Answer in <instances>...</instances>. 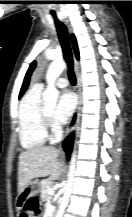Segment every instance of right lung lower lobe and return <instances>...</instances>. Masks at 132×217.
Instances as JSON below:
<instances>
[{
    "instance_id": "98d812e1",
    "label": "right lung lower lobe",
    "mask_w": 132,
    "mask_h": 217,
    "mask_svg": "<svg viewBox=\"0 0 132 217\" xmlns=\"http://www.w3.org/2000/svg\"><path fill=\"white\" fill-rule=\"evenodd\" d=\"M73 138H74V135L70 134L63 143V147L67 153L68 158H69L71 150H72Z\"/></svg>"
}]
</instances>
